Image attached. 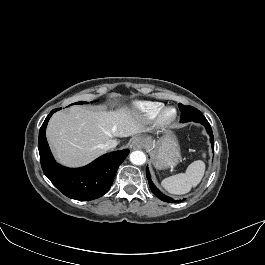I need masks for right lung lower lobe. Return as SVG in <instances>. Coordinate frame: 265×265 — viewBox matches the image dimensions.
Wrapping results in <instances>:
<instances>
[{
  "label": "right lung lower lobe",
  "instance_id": "1",
  "mask_svg": "<svg viewBox=\"0 0 265 265\" xmlns=\"http://www.w3.org/2000/svg\"><path fill=\"white\" fill-rule=\"evenodd\" d=\"M47 116L39 132V154L44 174L65 196L76 200H93L101 197L110 189L116 171L127 157L129 150L124 149L105 154L91 164L77 169L59 165L53 158L45 136L47 123L54 112Z\"/></svg>",
  "mask_w": 265,
  "mask_h": 265
}]
</instances>
